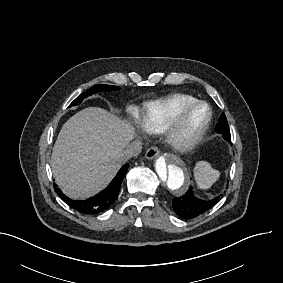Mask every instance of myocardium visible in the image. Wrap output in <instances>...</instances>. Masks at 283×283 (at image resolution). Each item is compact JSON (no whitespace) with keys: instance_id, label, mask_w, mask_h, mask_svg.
<instances>
[{"instance_id":"1","label":"myocardium","mask_w":283,"mask_h":283,"mask_svg":"<svg viewBox=\"0 0 283 283\" xmlns=\"http://www.w3.org/2000/svg\"><path fill=\"white\" fill-rule=\"evenodd\" d=\"M179 108L181 113H188L192 109L203 108L205 115L195 129L185 138H177L176 131L171 127V112ZM213 112L210 105L204 101H193L182 107L173 99L162 102L161 129L160 135L167 145L174 151L184 153L196 147L205 137L212 122Z\"/></svg>"}]
</instances>
